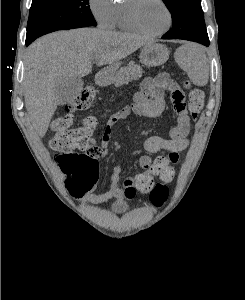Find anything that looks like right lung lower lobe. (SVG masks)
I'll list each match as a JSON object with an SVG mask.
<instances>
[{
    "mask_svg": "<svg viewBox=\"0 0 245 300\" xmlns=\"http://www.w3.org/2000/svg\"><path fill=\"white\" fill-rule=\"evenodd\" d=\"M32 41L26 40V45H29Z\"/></svg>",
    "mask_w": 245,
    "mask_h": 300,
    "instance_id": "obj_1",
    "label": "right lung lower lobe"
}]
</instances>
